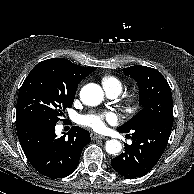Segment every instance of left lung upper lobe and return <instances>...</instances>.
Returning <instances> with one entry per match:
<instances>
[{"mask_svg": "<svg viewBox=\"0 0 194 194\" xmlns=\"http://www.w3.org/2000/svg\"><path fill=\"white\" fill-rule=\"evenodd\" d=\"M123 71L125 75L130 76L138 83L142 109L117 130L129 132L141 120L173 117L171 89L160 72L141 65L124 68Z\"/></svg>", "mask_w": 194, "mask_h": 194, "instance_id": "obj_1", "label": "left lung upper lobe"}]
</instances>
